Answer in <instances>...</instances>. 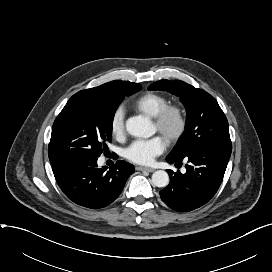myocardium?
<instances>
[{
    "mask_svg": "<svg viewBox=\"0 0 272 272\" xmlns=\"http://www.w3.org/2000/svg\"><path fill=\"white\" fill-rule=\"evenodd\" d=\"M157 131L162 134L169 144L178 142L187 128V117L184 108L179 104H167L154 117ZM173 120L175 127L168 129V124Z\"/></svg>",
    "mask_w": 272,
    "mask_h": 272,
    "instance_id": "f54148a6",
    "label": "myocardium"
}]
</instances>
